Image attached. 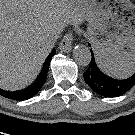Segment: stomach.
Wrapping results in <instances>:
<instances>
[{"mask_svg":"<svg viewBox=\"0 0 135 135\" xmlns=\"http://www.w3.org/2000/svg\"><path fill=\"white\" fill-rule=\"evenodd\" d=\"M88 21V38L97 57L135 54V5L130 0H69Z\"/></svg>","mask_w":135,"mask_h":135,"instance_id":"stomach-1","label":"stomach"}]
</instances>
